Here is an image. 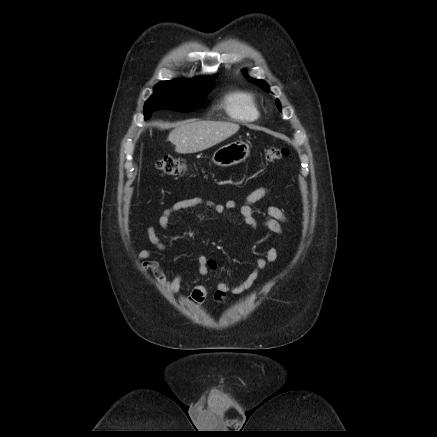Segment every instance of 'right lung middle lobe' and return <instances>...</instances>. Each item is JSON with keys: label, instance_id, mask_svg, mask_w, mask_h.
I'll return each mask as SVG.
<instances>
[{"label": "right lung middle lobe", "instance_id": "right-lung-middle-lobe-1", "mask_svg": "<svg viewBox=\"0 0 437 437\" xmlns=\"http://www.w3.org/2000/svg\"><path fill=\"white\" fill-rule=\"evenodd\" d=\"M214 83L188 86L177 81H163L154 87L153 95L144 106L145 119L152 111L171 109L176 111H192L197 109L205 96L211 91Z\"/></svg>", "mask_w": 437, "mask_h": 437}]
</instances>
